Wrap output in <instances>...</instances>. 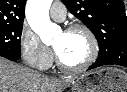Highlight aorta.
I'll return each instance as SVG.
<instances>
[{"label":"aorta","instance_id":"obj_1","mask_svg":"<svg viewBox=\"0 0 127 92\" xmlns=\"http://www.w3.org/2000/svg\"><path fill=\"white\" fill-rule=\"evenodd\" d=\"M52 0H28L25 14L31 29L39 35L44 43L51 42L52 36L59 27L49 18Z\"/></svg>","mask_w":127,"mask_h":92}]
</instances>
